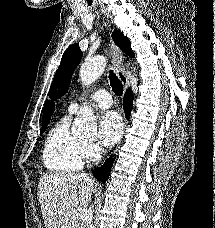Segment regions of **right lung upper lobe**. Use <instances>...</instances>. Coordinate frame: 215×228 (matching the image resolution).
<instances>
[{
  "label": "right lung upper lobe",
  "mask_w": 215,
  "mask_h": 228,
  "mask_svg": "<svg viewBox=\"0 0 215 228\" xmlns=\"http://www.w3.org/2000/svg\"><path fill=\"white\" fill-rule=\"evenodd\" d=\"M54 111V103L46 102L43 112L42 124L49 123L50 117Z\"/></svg>",
  "instance_id": "1"
}]
</instances>
